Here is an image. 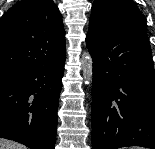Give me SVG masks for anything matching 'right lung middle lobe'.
<instances>
[{
    "label": "right lung middle lobe",
    "instance_id": "obj_1",
    "mask_svg": "<svg viewBox=\"0 0 155 149\" xmlns=\"http://www.w3.org/2000/svg\"><path fill=\"white\" fill-rule=\"evenodd\" d=\"M19 75L15 72H0V86L15 83Z\"/></svg>",
    "mask_w": 155,
    "mask_h": 149
}]
</instances>
